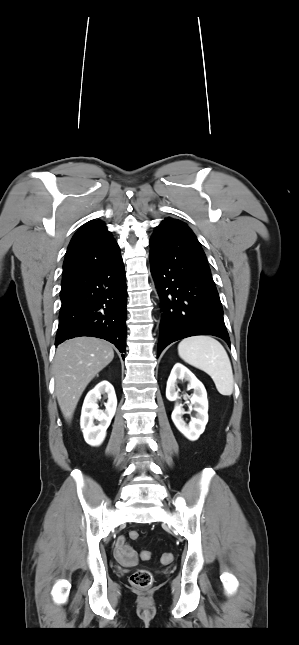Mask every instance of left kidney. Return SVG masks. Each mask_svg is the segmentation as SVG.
Segmentation results:
<instances>
[{
    "label": "left kidney",
    "instance_id": "obj_1",
    "mask_svg": "<svg viewBox=\"0 0 299 645\" xmlns=\"http://www.w3.org/2000/svg\"><path fill=\"white\" fill-rule=\"evenodd\" d=\"M177 379L188 381L189 387L194 390L190 401L194 405L196 415L192 418L189 424H186L182 418L184 410L180 405L176 404L171 418L177 429L187 439L195 441L204 432L205 426L208 422L207 392L204 385L188 368L183 366L181 363H176L173 366L167 381L166 397L169 401H176L179 397L178 392L176 391Z\"/></svg>",
    "mask_w": 299,
    "mask_h": 645
}]
</instances>
